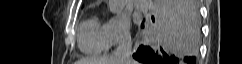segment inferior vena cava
I'll return each instance as SVG.
<instances>
[{"instance_id": "obj_1", "label": "inferior vena cava", "mask_w": 242, "mask_h": 64, "mask_svg": "<svg viewBox=\"0 0 242 64\" xmlns=\"http://www.w3.org/2000/svg\"><path fill=\"white\" fill-rule=\"evenodd\" d=\"M131 38L125 36L118 47L114 51L113 58L117 61V64H131Z\"/></svg>"}]
</instances>
